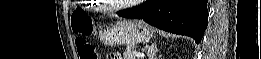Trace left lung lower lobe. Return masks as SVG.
Segmentation results:
<instances>
[{
    "label": "left lung lower lobe",
    "mask_w": 261,
    "mask_h": 59,
    "mask_svg": "<svg viewBox=\"0 0 261 59\" xmlns=\"http://www.w3.org/2000/svg\"><path fill=\"white\" fill-rule=\"evenodd\" d=\"M208 0H146L140 6L119 11V16L143 19L164 31L192 37L200 43L208 25Z\"/></svg>",
    "instance_id": "0a47b994"
}]
</instances>
